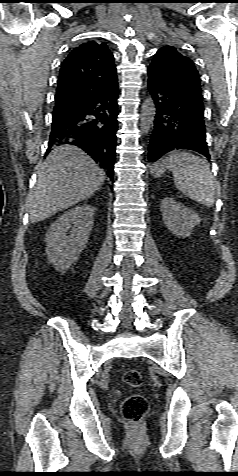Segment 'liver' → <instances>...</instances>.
<instances>
[{"label":"liver","instance_id":"liver-1","mask_svg":"<svg viewBox=\"0 0 238 476\" xmlns=\"http://www.w3.org/2000/svg\"><path fill=\"white\" fill-rule=\"evenodd\" d=\"M37 176L36 185L27 198L31 223L87 199L106 177L90 156L72 145L53 149L39 167Z\"/></svg>","mask_w":238,"mask_h":476}]
</instances>
